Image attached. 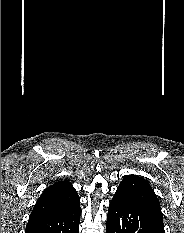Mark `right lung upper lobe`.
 <instances>
[{
    "mask_svg": "<svg viewBox=\"0 0 184 233\" xmlns=\"http://www.w3.org/2000/svg\"><path fill=\"white\" fill-rule=\"evenodd\" d=\"M80 207V199L72 184L55 182L41 194L29 217V221L74 210Z\"/></svg>",
    "mask_w": 184,
    "mask_h": 233,
    "instance_id": "cb5924a9",
    "label": "right lung upper lobe"
}]
</instances>
